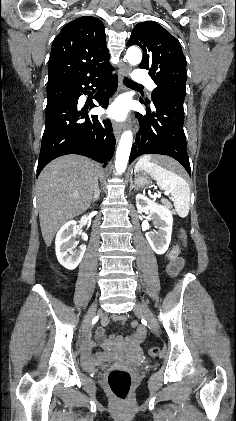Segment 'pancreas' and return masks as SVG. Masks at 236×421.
I'll return each instance as SVG.
<instances>
[{"label":"pancreas","instance_id":"cf45deb5","mask_svg":"<svg viewBox=\"0 0 236 421\" xmlns=\"http://www.w3.org/2000/svg\"><path fill=\"white\" fill-rule=\"evenodd\" d=\"M163 204H165V206H167V208H172V204H171V202H169V200H163ZM172 213H174V211H172Z\"/></svg>","mask_w":236,"mask_h":421}]
</instances>
